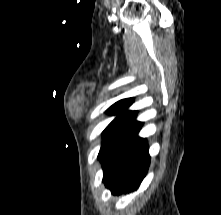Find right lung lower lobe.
<instances>
[{
  "label": "right lung lower lobe",
  "mask_w": 221,
  "mask_h": 215,
  "mask_svg": "<svg viewBox=\"0 0 221 215\" xmlns=\"http://www.w3.org/2000/svg\"><path fill=\"white\" fill-rule=\"evenodd\" d=\"M135 117L113 136L99 158L103 164V181L113 194L137 188L148 171V145L138 137L143 123Z\"/></svg>",
  "instance_id": "right-lung-lower-lobe-1"
}]
</instances>
